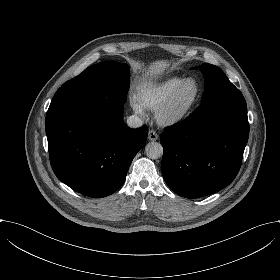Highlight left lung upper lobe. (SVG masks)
Segmentation results:
<instances>
[{
	"label": "left lung upper lobe",
	"mask_w": 280,
	"mask_h": 280,
	"mask_svg": "<svg viewBox=\"0 0 280 280\" xmlns=\"http://www.w3.org/2000/svg\"><path fill=\"white\" fill-rule=\"evenodd\" d=\"M197 68L203 73L205 79V90L201 104L238 90L217 66L204 63ZM197 68L195 67L193 69Z\"/></svg>",
	"instance_id": "1"
}]
</instances>
